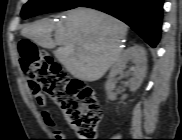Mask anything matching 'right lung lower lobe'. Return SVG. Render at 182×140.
<instances>
[{"label":"right lung lower lobe","instance_id":"obj_1","mask_svg":"<svg viewBox=\"0 0 182 140\" xmlns=\"http://www.w3.org/2000/svg\"><path fill=\"white\" fill-rule=\"evenodd\" d=\"M79 7L97 9L120 19L153 48L160 40L163 0H86Z\"/></svg>","mask_w":182,"mask_h":140}]
</instances>
